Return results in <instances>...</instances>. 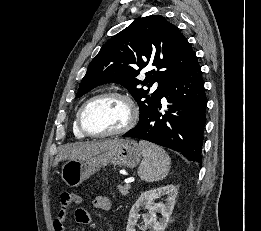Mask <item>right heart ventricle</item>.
Listing matches in <instances>:
<instances>
[{
  "mask_svg": "<svg viewBox=\"0 0 261 231\" xmlns=\"http://www.w3.org/2000/svg\"><path fill=\"white\" fill-rule=\"evenodd\" d=\"M78 111H79V110H78ZM78 111H77V113L75 114L74 119H73L72 132H73L74 136H75L77 139H84V138H86V136L80 132V130H79V128H78V125H77V115H78Z\"/></svg>",
  "mask_w": 261,
  "mask_h": 231,
  "instance_id": "1",
  "label": "right heart ventricle"
}]
</instances>
